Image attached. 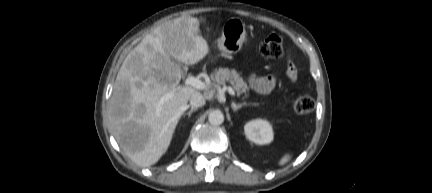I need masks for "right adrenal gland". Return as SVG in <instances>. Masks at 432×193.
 Returning a JSON list of instances; mask_svg holds the SVG:
<instances>
[{"label":"right adrenal gland","instance_id":"obj_1","mask_svg":"<svg viewBox=\"0 0 432 193\" xmlns=\"http://www.w3.org/2000/svg\"><path fill=\"white\" fill-rule=\"evenodd\" d=\"M197 111V108L191 107V109L187 112L183 114V117H185L186 115H188V118L191 116V114L193 112Z\"/></svg>","mask_w":432,"mask_h":193}]
</instances>
